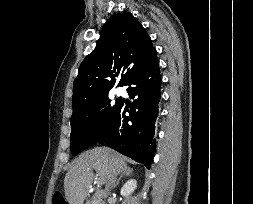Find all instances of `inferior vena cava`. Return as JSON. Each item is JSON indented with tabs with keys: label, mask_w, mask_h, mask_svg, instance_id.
I'll return each mask as SVG.
<instances>
[{
	"label": "inferior vena cava",
	"mask_w": 253,
	"mask_h": 204,
	"mask_svg": "<svg viewBox=\"0 0 253 204\" xmlns=\"http://www.w3.org/2000/svg\"><path fill=\"white\" fill-rule=\"evenodd\" d=\"M115 177H110L106 183V190L109 191L112 187H114Z\"/></svg>",
	"instance_id": "602c4592"
}]
</instances>
